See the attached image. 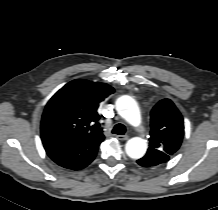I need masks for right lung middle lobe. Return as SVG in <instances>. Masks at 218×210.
Instances as JSON below:
<instances>
[{
  "instance_id": "1",
  "label": "right lung middle lobe",
  "mask_w": 218,
  "mask_h": 210,
  "mask_svg": "<svg viewBox=\"0 0 218 210\" xmlns=\"http://www.w3.org/2000/svg\"><path fill=\"white\" fill-rule=\"evenodd\" d=\"M46 127H47V128H49V127H50V125L47 123V124H46Z\"/></svg>"
}]
</instances>
